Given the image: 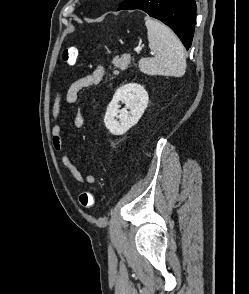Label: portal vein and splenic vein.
<instances>
[{
    "label": "portal vein and splenic vein",
    "instance_id": "obj_1",
    "mask_svg": "<svg viewBox=\"0 0 249 294\" xmlns=\"http://www.w3.org/2000/svg\"><path fill=\"white\" fill-rule=\"evenodd\" d=\"M135 51L137 52V54H139L141 51V48H136ZM150 54L154 55L155 53L153 51H151Z\"/></svg>",
    "mask_w": 249,
    "mask_h": 294
}]
</instances>
